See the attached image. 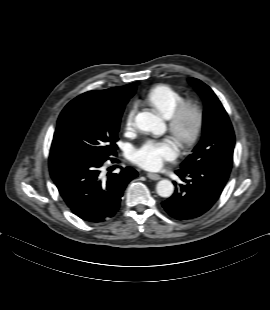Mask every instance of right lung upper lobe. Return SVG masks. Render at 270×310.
<instances>
[{
  "mask_svg": "<svg viewBox=\"0 0 270 310\" xmlns=\"http://www.w3.org/2000/svg\"><path fill=\"white\" fill-rule=\"evenodd\" d=\"M136 83H131L121 87H113L100 91H89L101 98L103 102L109 105L114 111L122 113L128 100L135 93Z\"/></svg>",
  "mask_w": 270,
  "mask_h": 310,
  "instance_id": "cb5924a9",
  "label": "right lung upper lobe"
}]
</instances>
